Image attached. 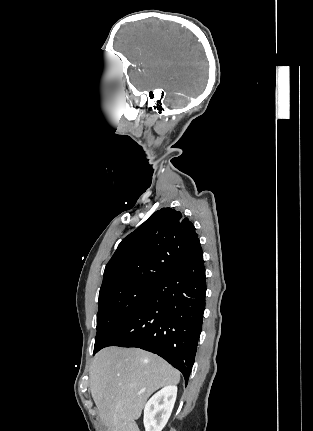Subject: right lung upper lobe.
I'll return each instance as SVG.
<instances>
[{
  "label": "right lung upper lobe",
  "mask_w": 313,
  "mask_h": 431,
  "mask_svg": "<svg viewBox=\"0 0 313 431\" xmlns=\"http://www.w3.org/2000/svg\"><path fill=\"white\" fill-rule=\"evenodd\" d=\"M198 241L194 225L169 207L125 237L107 263L99 297L123 289L157 286Z\"/></svg>",
  "instance_id": "cb5924a9"
}]
</instances>
